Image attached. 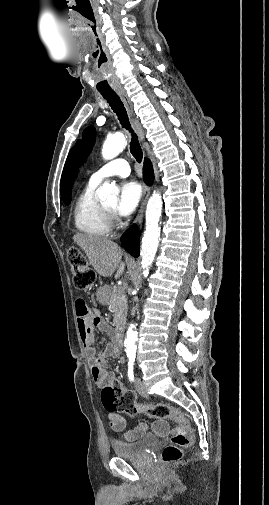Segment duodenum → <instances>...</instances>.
<instances>
[{
    "instance_id": "410a0bca",
    "label": "duodenum",
    "mask_w": 269,
    "mask_h": 505,
    "mask_svg": "<svg viewBox=\"0 0 269 505\" xmlns=\"http://www.w3.org/2000/svg\"><path fill=\"white\" fill-rule=\"evenodd\" d=\"M114 338L119 347L123 345L124 340V326L118 325L114 330Z\"/></svg>"
}]
</instances>
